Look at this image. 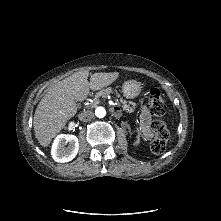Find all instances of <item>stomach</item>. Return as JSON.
<instances>
[{
  "label": "stomach",
  "mask_w": 221,
  "mask_h": 221,
  "mask_svg": "<svg viewBox=\"0 0 221 221\" xmlns=\"http://www.w3.org/2000/svg\"><path fill=\"white\" fill-rule=\"evenodd\" d=\"M141 83L136 80H128L123 84L122 92L126 98L134 99L141 92Z\"/></svg>",
  "instance_id": "obj_1"
}]
</instances>
